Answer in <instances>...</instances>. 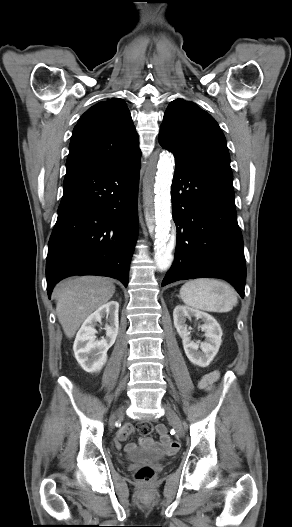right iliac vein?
<instances>
[{"instance_id":"obj_1","label":"right iliac vein","mask_w":292,"mask_h":527,"mask_svg":"<svg viewBox=\"0 0 292 527\" xmlns=\"http://www.w3.org/2000/svg\"><path fill=\"white\" fill-rule=\"evenodd\" d=\"M123 414V408L119 409V411L117 412V415L120 416Z\"/></svg>"}]
</instances>
